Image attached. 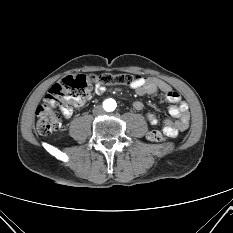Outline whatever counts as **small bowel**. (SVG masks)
<instances>
[{"label": "small bowel", "mask_w": 233, "mask_h": 233, "mask_svg": "<svg viewBox=\"0 0 233 233\" xmlns=\"http://www.w3.org/2000/svg\"><path fill=\"white\" fill-rule=\"evenodd\" d=\"M132 90L139 96L144 95H158L161 94L166 101L171 103L169 107V114L174 120L165 119L163 121V132L168 137H177L181 132L185 131L189 125V110L188 105L181 99V96L176 92L168 83L153 77H141L136 83L130 86ZM106 90V87L102 84H95L94 93L102 94ZM86 102H80L76 104L77 108L84 107ZM136 110H142L144 105L140 101H136L133 104ZM61 112L65 118H70L73 114V109L70 107L61 109ZM147 121L151 125L158 124V118L154 113H148L146 115Z\"/></svg>", "instance_id": "1"}]
</instances>
